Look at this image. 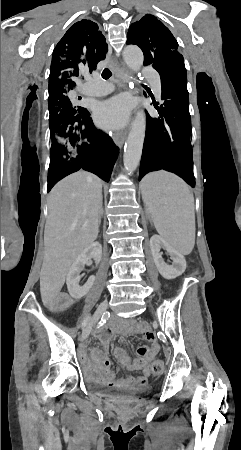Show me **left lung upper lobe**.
Wrapping results in <instances>:
<instances>
[{"label":"left lung upper lobe","instance_id":"5c2ea615","mask_svg":"<svg viewBox=\"0 0 241 450\" xmlns=\"http://www.w3.org/2000/svg\"><path fill=\"white\" fill-rule=\"evenodd\" d=\"M127 44L139 46L144 53V65L153 64L155 69L184 62L172 33L151 14L130 25Z\"/></svg>","mask_w":241,"mask_h":450}]
</instances>
